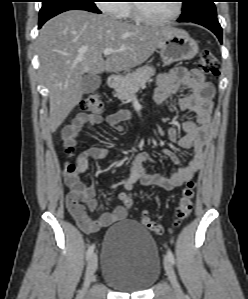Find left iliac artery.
Instances as JSON below:
<instances>
[{
  "mask_svg": "<svg viewBox=\"0 0 248 299\" xmlns=\"http://www.w3.org/2000/svg\"><path fill=\"white\" fill-rule=\"evenodd\" d=\"M167 257H168V259L170 260V262H171L172 264L175 263V258H174V255H173V253H172L171 250H168V252H167Z\"/></svg>",
  "mask_w": 248,
  "mask_h": 299,
  "instance_id": "44dca946",
  "label": "left iliac artery"
}]
</instances>
